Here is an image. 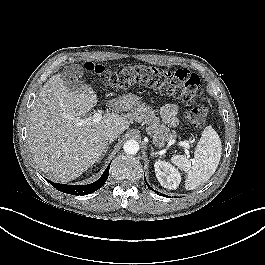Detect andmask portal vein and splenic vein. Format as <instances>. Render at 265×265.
Listing matches in <instances>:
<instances>
[{
  "instance_id": "portal-vein-and-splenic-vein-1",
  "label": "portal vein and splenic vein",
  "mask_w": 265,
  "mask_h": 265,
  "mask_svg": "<svg viewBox=\"0 0 265 265\" xmlns=\"http://www.w3.org/2000/svg\"><path fill=\"white\" fill-rule=\"evenodd\" d=\"M101 119H102V113L99 111V112H96L92 117L90 116V117L85 118V119L77 120V123L79 125L91 124L92 122L98 123L101 121ZM179 145L183 146L186 149L189 148L188 143H186V142H179Z\"/></svg>"
}]
</instances>
